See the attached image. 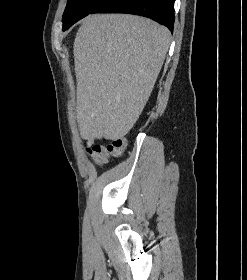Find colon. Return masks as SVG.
Instances as JSON below:
<instances>
[{"mask_svg":"<svg viewBox=\"0 0 247 280\" xmlns=\"http://www.w3.org/2000/svg\"><path fill=\"white\" fill-rule=\"evenodd\" d=\"M125 145H126L125 140L118 138L113 140L107 146H102L97 144L94 145L89 150V153L97 163L103 164L107 162L109 157L119 156L123 152Z\"/></svg>","mask_w":247,"mask_h":280,"instance_id":"5ec220e1","label":"colon"}]
</instances>
